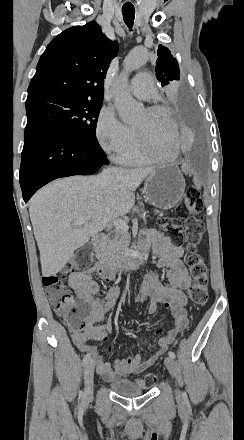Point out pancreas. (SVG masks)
<instances>
[{"label":"pancreas","instance_id":"1","mask_svg":"<svg viewBox=\"0 0 244 440\" xmlns=\"http://www.w3.org/2000/svg\"><path fill=\"white\" fill-rule=\"evenodd\" d=\"M131 236L128 230H113L106 234L101 242L94 248L95 256L104 264H117L123 262L125 250L129 248Z\"/></svg>","mask_w":244,"mask_h":440}]
</instances>
